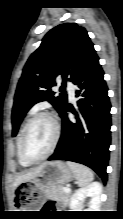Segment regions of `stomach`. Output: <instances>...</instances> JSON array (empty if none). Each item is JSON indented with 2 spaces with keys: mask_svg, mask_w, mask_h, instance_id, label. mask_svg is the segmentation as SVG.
<instances>
[{
  "mask_svg": "<svg viewBox=\"0 0 123 219\" xmlns=\"http://www.w3.org/2000/svg\"><path fill=\"white\" fill-rule=\"evenodd\" d=\"M75 177L71 168L62 161L47 162L32 179L22 183L20 205L17 209H38L46 197V191L69 183ZM35 211V210H15Z\"/></svg>",
  "mask_w": 123,
  "mask_h": 219,
  "instance_id": "0dacf381",
  "label": "stomach"
}]
</instances>
